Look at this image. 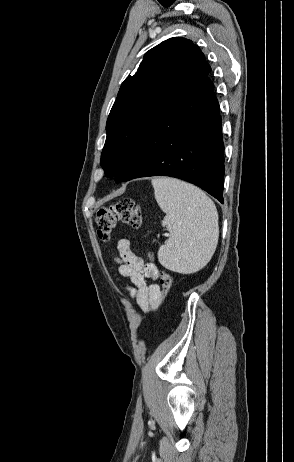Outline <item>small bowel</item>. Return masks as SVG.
<instances>
[{
    "label": "small bowel",
    "instance_id": "obj_1",
    "mask_svg": "<svg viewBox=\"0 0 294 462\" xmlns=\"http://www.w3.org/2000/svg\"><path fill=\"white\" fill-rule=\"evenodd\" d=\"M119 273L130 280L129 292L144 312L156 308L161 301V290L157 283L158 269L152 263H146L136 254L130 240L123 238L117 243Z\"/></svg>",
    "mask_w": 294,
    "mask_h": 462
}]
</instances>
